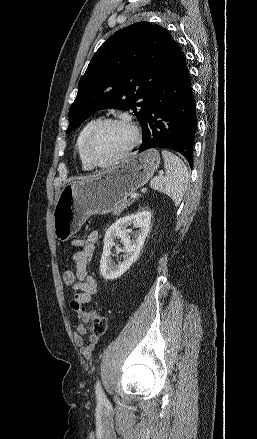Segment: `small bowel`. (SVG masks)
I'll list each match as a JSON object with an SVG mask.
<instances>
[{"mask_svg":"<svg viewBox=\"0 0 257 439\" xmlns=\"http://www.w3.org/2000/svg\"><path fill=\"white\" fill-rule=\"evenodd\" d=\"M98 239L99 233L91 231L85 237L75 238L71 242L73 247L79 249L72 257L75 262L76 282L72 286L74 294L70 306L79 317L74 332V342L81 354L87 359H91L92 352L99 342L97 335L90 334L87 336L89 332V313L86 309V305L91 302L93 295L97 292V283L88 273V264L94 255Z\"/></svg>","mask_w":257,"mask_h":439,"instance_id":"obj_1","label":"small bowel"}]
</instances>
